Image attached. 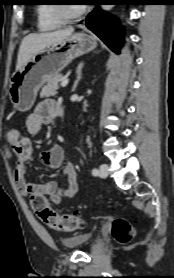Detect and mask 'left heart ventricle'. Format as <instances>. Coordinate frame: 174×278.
Listing matches in <instances>:
<instances>
[{
  "mask_svg": "<svg viewBox=\"0 0 174 278\" xmlns=\"http://www.w3.org/2000/svg\"><path fill=\"white\" fill-rule=\"evenodd\" d=\"M70 7V9L72 10V11H77V10H79L80 8H82L83 6H81V5H71V6H69Z\"/></svg>",
  "mask_w": 174,
  "mask_h": 278,
  "instance_id": "b2bd125f",
  "label": "left heart ventricle"
}]
</instances>
